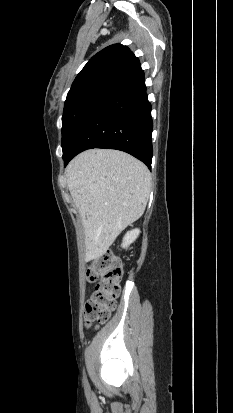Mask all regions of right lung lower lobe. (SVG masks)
<instances>
[{
	"instance_id": "obj_1",
	"label": "right lung lower lobe",
	"mask_w": 233,
	"mask_h": 413,
	"mask_svg": "<svg viewBox=\"0 0 233 413\" xmlns=\"http://www.w3.org/2000/svg\"><path fill=\"white\" fill-rule=\"evenodd\" d=\"M151 105L140 63L115 80L79 131L64 166L78 153L91 148L127 152L151 168Z\"/></svg>"
}]
</instances>
